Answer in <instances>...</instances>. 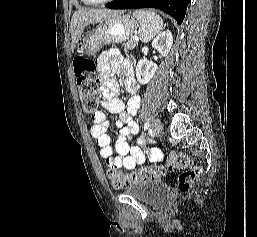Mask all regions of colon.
<instances>
[{
  "mask_svg": "<svg viewBox=\"0 0 257 237\" xmlns=\"http://www.w3.org/2000/svg\"><path fill=\"white\" fill-rule=\"evenodd\" d=\"M84 45L73 59L74 74L82 101L83 108L88 113H95L100 98L99 76L96 63L83 54ZM171 169H185L178 177V187L181 192H188L196 178L200 175V168L192 166L191 158L186 153H172L170 155ZM165 173L164 168H141L131 173H123L116 169L107 171L111 185L116 188H126L133 183L145 180H158Z\"/></svg>",
  "mask_w": 257,
  "mask_h": 237,
  "instance_id": "obj_1",
  "label": "colon"
}]
</instances>
